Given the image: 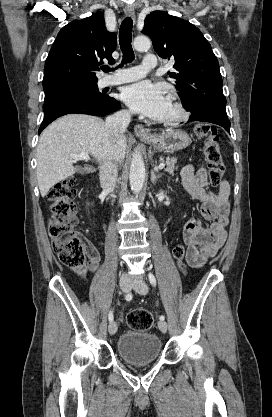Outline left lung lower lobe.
<instances>
[{
	"instance_id": "0a47b994",
	"label": "left lung lower lobe",
	"mask_w": 272,
	"mask_h": 417,
	"mask_svg": "<svg viewBox=\"0 0 272 417\" xmlns=\"http://www.w3.org/2000/svg\"><path fill=\"white\" fill-rule=\"evenodd\" d=\"M191 121L210 122L213 124H217L222 126L228 133H230V121L227 117L211 115L210 113H192L189 118V122Z\"/></svg>"
}]
</instances>
